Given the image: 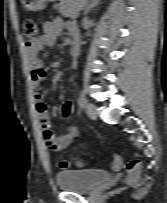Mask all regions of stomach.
I'll return each mask as SVG.
<instances>
[{
    "mask_svg": "<svg viewBox=\"0 0 167 203\" xmlns=\"http://www.w3.org/2000/svg\"><path fill=\"white\" fill-rule=\"evenodd\" d=\"M56 0H21L23 6L30 11L42 10L46 7L47 2H53Z\"/></svg>",
    "mask_w": 167,
    "mask_h": 203,
    "instance_id": "obj_1",
    "label": "stomach"
}]
</instances>
